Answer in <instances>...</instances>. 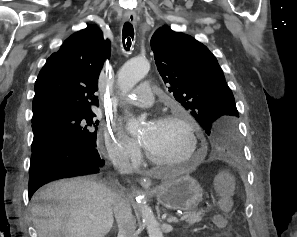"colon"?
Masks as SVG:
<instances>
[{
	"mask_svg": "<svg viewBox=\"0 0 297 237\" xmlns=\"http://www.w3.org/2000/svg\"><path fill=\"white\" fill-rule=\"evenodd\" d=\"M217 185L220 194V202L224 208L227 209L230 204L231 182L223 175L217 179ZM214 221L218 227L222 228L226 226V218L223 215H217Z\"/></svg>",
	"mask_w": 297,
	"mask_h": 237,
	"instance_id": "5ec220e1",
	"label": "colon"
}]
</instances>
